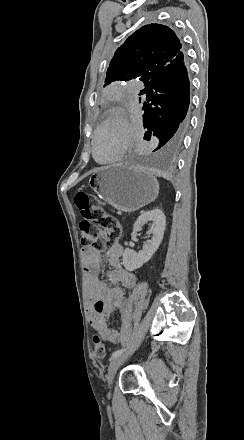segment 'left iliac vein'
<instances>
[{
  "mask_svg": "<svg viewBox=\"0 0 244 440\" xmlns=\"http://www.w3.org/2000/svg\"><path fill=\"white\" fill-rule=\"evenodd\" d=\"M125 358V354H121L115 358H113L110 361L109 367H108V377H107V386L109 389H111V385L113 382V377L116 374V371L118 368L123 364Z\"/></svg>",
  "mask_w": 244,
  "mask_h": 440,
  "instance_id": "obj_1",
  "label": "left iliac vein"
}]
</instances>
